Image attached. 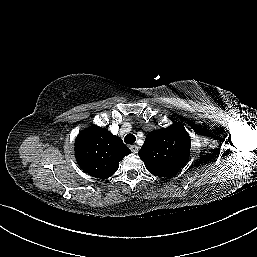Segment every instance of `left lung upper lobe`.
<instances>
[{
	"mask_svg": "<svg viewBox=\"0 0 257 257\" xmlns=\"http://www.w3.org/2000/svg\"><path fill=\"white\" fill-rule=\"evenodd\" d=\"M190 146L186 130L170 126L149 133L138 155L150 173L168 178L184 167Z\"/></svg>",
	"mask_w": 257,
	"mask_h": 257,
	"instance_id": "left-lung-upper-lobe-1",
	"label": "left lung upper lobe"
}]
</instances>
